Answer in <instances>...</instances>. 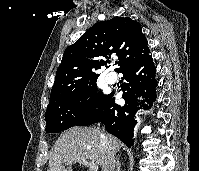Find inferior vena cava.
<instances>
[{
  "label": "inferior vena cava",
  "instance_id": "602c4592",
  "mask_svg": "<svg viewBox=\"0 0 199 171\" xmlns=\"http://www.w3.org/2000/svg\"><path fill=\"white\" fill-rule=\"evenodd\" d=\"M105 137V134H102ZM115 152L111 150L108 153L107 159L105 160L104 171H114L115 170Z\"/></svg>",
  "mask_w": 199,
  "mask_h": 171
}]
</instances>
